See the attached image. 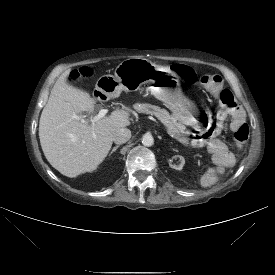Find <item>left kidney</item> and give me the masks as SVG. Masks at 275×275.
<instances>
[{
	"label": "left kidney",
	"instance_id": "5707ae66",
	"mask_svg": "<svg viewBox=\"0 0 275 275\" xmlns=\"http://www.w3.org/2000/svg\"><path fill=\"white\" fill-rule=\"evenodd\" d=\"M179 159H180V164L178 165V159L177 158H170L169 159V166L171 167V168H174V169H176V170H181L182 168H183V166H184V164H185V160H184V158L182 157V156H177Z\"/></svg>",
	"mask_w": 275,
	"mask_h": 275
}]
</instances>
